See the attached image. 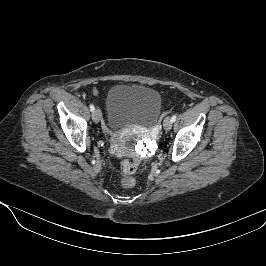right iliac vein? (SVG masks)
I'll return each instance as SVG.
<instances>
[{
    "label": "right iliac vein",
    "instance_id": "63e3f726",
    "mask_svg": "<svg viewBox=\"0 0 266 266\" xmlns=\"http://www.w3.org/2000/svg\"><path fill=\"white\" fill-rule=\"evenodd\" d=\"M92 120L95 123H98L101 120V111L99 109H96L92 112Z\"/></svg>",
    "mask_w": 266,
    "mask_h": 266
}]
</instances>
